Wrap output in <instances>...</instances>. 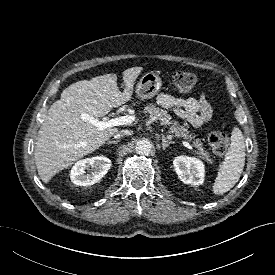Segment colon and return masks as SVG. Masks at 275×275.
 Returning <instances> with one entry per match:
<instances>
[{
	"instance_id": "5ec220e1",
	"label": "colon",
	"mask_w": 275,
	"mask_h": 275,
	"mask_svg": "<svg viewBox=\"0 0 275 275\" xmlns=\"http://www.w3.org/2000/svg\"><path fill=\"white\" fill-rule=\"evenodd\" d=\"M172 81L174 86L181 92L192 90L196 83L194 74L179 71L173 74ZM208 143L216 153H224L228 146V137L221 131H212L208 134Z\"/></svg>"
}]
</instances>
